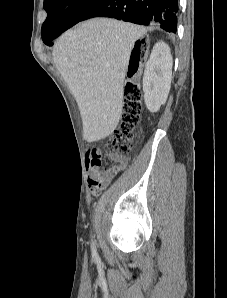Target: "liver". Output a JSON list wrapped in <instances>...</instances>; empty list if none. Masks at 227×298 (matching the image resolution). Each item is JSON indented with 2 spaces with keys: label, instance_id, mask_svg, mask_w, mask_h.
Instances as JSON below:
<instances>
[{
  "label": "liver",
  "instance_id": "6515ba94",
  "mask_svg": "<svg viewBox=\"0 0 227 298\" xmlns=\"http://www.w3.org/2000/svg\"><path fill=\"white\" fill-rule=\"evenodd\" d=\"M145 33L138 25L94 18L56 42L53 62L77 101L86 141L104 139L116 129L131 50Z\"/></svg>",
  "mask_w": 227,
  "mask_h": 298
}]
</instances>
